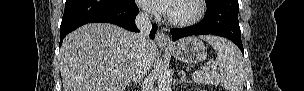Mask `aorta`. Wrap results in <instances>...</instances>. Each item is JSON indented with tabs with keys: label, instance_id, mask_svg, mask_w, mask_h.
Returning <instances> with one entry per match:
<instances>
[{
	"label": "aorta",
	"instance_id": "obj_1",
	"mask_svg": "<svg viewBox=\"0 0 304 91\" xmlns=\"http://www.w3.org/2000/svg\"><path fill=\"white\" fill-rule=\"evenodd\" d=\"M172 78L170 71L166 66H162L158 73V88L159 91H171Z\"/></svg>",
	"mask_w": 304,
	"mask_h": 91
}]
</instances>
